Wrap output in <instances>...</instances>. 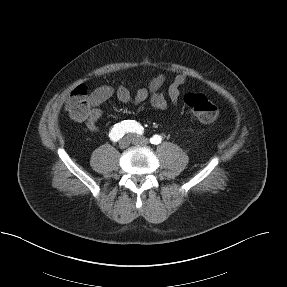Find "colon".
I'll return each instance as SVG.
<instances>
[{
    "mask_svg": "<svg viewBox=\"0 0 287 287\" xmlns=\"http://www.w3.org/2000/svg\"><path fill=\"white\" fill-rule=\"evenodd\" d=\"M189 112L203 123H214L219 119L216 105L204 94L187 93L183 98ZM65 109L76 121H84L90 111L87 88L83 85L76 87L66 101Z\"/></svg>",
    "mask_w": 287,
    "mask_h": 287,
    "instance_id": "5ec220e1",
    "label": "colon"
}]
</instances>
